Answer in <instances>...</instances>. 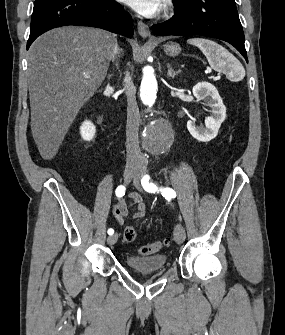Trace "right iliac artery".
<instances>
[{"mask_svg": "<svg viewBox=\"0 0 285 335\" xmlns=\"http://www.w3.org/2000/svg\"><path fill=\"white\" fill-rule=\"evenodd\" d=\"M115 193H116L117 197L124 196L125 195V187L123 185L118 186L117 189H116V191H115ZM113 233H114L113 229H111V228L108 229V234L109 235H112Z\"/></svg>", "mask_w": 285, "mask_h": 335, "instance_id": "obj_1", "label": "right iliac artery"}]
</instances>
